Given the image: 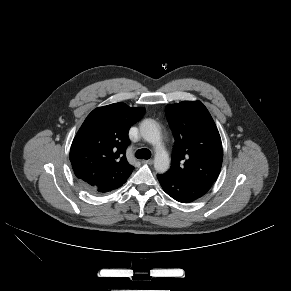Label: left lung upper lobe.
Instances as JSON below:
<instances>
[{
	"label": "left lung upper lobe",
	"mask_w": 291,
	"mask_h": 291,
	"mask_svg": "<svg viewBox=\"0 0 291 291\" xmlns=\"http://www.w3.org/2000/svg\"><path fill=\"white\" fill-rule=\"evenodd\" d=\"M165 113L175 135L167 172L210 188L223 160L221 138L210 113L199 101L167 105Z\"/></svg>",
	"instance_id": "obj_1"
}]
</instances>
